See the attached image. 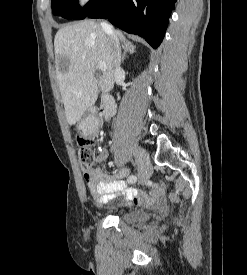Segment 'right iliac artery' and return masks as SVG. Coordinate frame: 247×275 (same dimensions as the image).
Instances as JSON below:
<instances>
[{
  "label": "right iliac artery",
  "instance_id": "82829eb1",
  "mask_svg": "<svg viewBox=\"0 0 247 275\" xmlns=\"http://www.w3.org/2000/svg\"><path fill=\"white\" fill-rule=\"evenodd\" d=\"M137 178L135 175H130L127 179L128 183H134L136 182Z\"/></svg>",
  "mask_w": 247,
  "mask_h": 275
}]
</instances>
